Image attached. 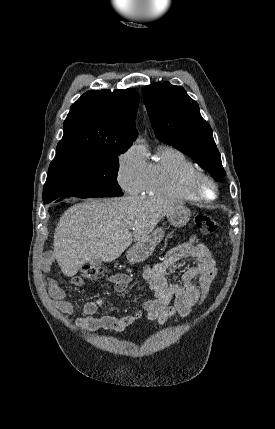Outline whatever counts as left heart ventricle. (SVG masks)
Returning <instances> with one entry per match:
<instances>
[{"instance_id": "left-heart-ventricle-1", "label": "left heart ventricle", "mask_w": 275, "mask_h": 429, "mask_svg": "<svg viewBox=\"0 0 275 429\" xmlns=\"http://www.w3.org/2000/svg\"><path fill=\"white\" fill-rule=\"evenodd\" d=\"M205 190L208 195H212V190L209 187H206Z\"/></svg>"}]
</instances>
